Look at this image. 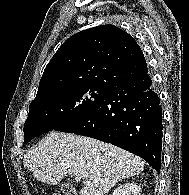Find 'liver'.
Returning a JSON list of instances; mask_svg holds the SVG:
<instances>
[{
	"label": "liver",
	"instance_id": "1",
	"mask_svg": "<svg viewBox=\"0 0 189 195\" xmlns=\"http://www.w3.org/2000/svg\"><path fill=\"white\" fill-rule=\"evenodd\" d=\"M24 167L49 185L66 176H81L79 195H105L117 182L144 169L141 158L100 140L63 132H50L24 156Z\"/></svg>",
	"mask_w": 189,
	"mask_h": 195
}]
</instances>
